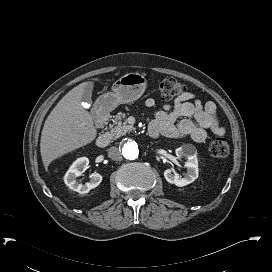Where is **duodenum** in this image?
<instances>
[{"instance_id":"obj_1","label":"duodenum","mask_w":272,"mask_h":272,"mask_svg":"<svg viewBox=\"0 0 272 272\" xmlns=\"http://www.w3.org/2000/svg\"><path fill=\"white\" fill-rule=\"evenodd\" d=\"M109 105L102 104L92 111V117L100 124H105L109 120ZM147 134L150 138L156 139L159 136V129L156 125L150 124ZM110 143V136L108 134H102L97 138L96 144L99 148H104Z\"/></svg>"}]
</instances>
